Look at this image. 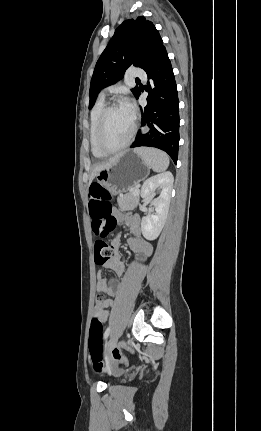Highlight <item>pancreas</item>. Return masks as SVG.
I'll list each match as a JSON object with an SVG mask.
<instances>
[{"label":"pancreas","mask_w":261,"mask_h":431,"mask_svg":"<svg viewBox=\"0 0 261 431\" xmlns=\"http://www.w3.org/2000/svg\"><path fill=\"white\" fill-rule=\"evenodd\" d=\"M117 202L121 210H133L139 203V194H133V192L121 194L117 198Z\"/></svg>","instance_id":"pancreas-1"}]
</instances>
